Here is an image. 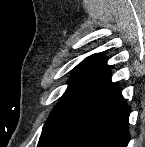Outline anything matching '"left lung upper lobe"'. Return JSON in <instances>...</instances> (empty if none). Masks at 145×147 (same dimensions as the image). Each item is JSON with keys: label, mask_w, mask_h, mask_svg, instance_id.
<instances>
[{"label": "left lung upper lobe", "mask_w": 145, "mask_h": 147, "mask_svg": "<svg viewBox=\"0 0 145 147\" xmlns=\"http://www.w3.org/2000/svg\"><path fill=\"white\" fill-rule=\"evenodd\" d=\"M106 60L101 53H97L87 57L75 68L69 79L67 90L43 127L38 147H44L50 142H55L63 134Z\"/></svg>", "instance_id": "5c2ea615"}]
</instances>
